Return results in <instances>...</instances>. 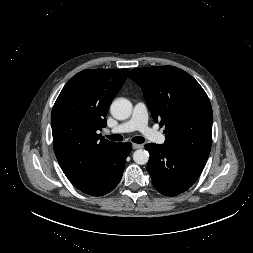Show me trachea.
<instances>
[{"label":"trachea","mask_w":253,"mask_h":253,"mask_svg":"<svg viewBox=\"0 0 253 253\" xmlns=\"http://www.w3.org/2000/svg\"><path fill=\"white\" fill-rule=\"evenodd\" d=\"M106 137L109 138L112 141H122L123 140V137L120 134H112V135H109V136H106ZM132 141L135 142V143L141 144L145 141V139L141 136H136L132 139Z\"/></svg>","instance_id":"obj_1"}]
</instances>
